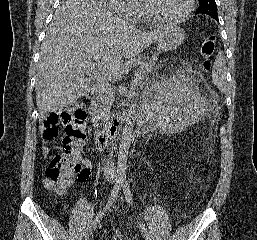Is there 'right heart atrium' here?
<instances>
[{"label":"right heart atrium","instance_id":"d8ad5b80","mask_svg":"<svg viewBox=\"0 0 257 240\" xmlns=\"http://www.w3.org/2000/svg\"><path fill=\"white\" fill-rule=\"evenodd\" d=\"M113 10L126 20L136 23L139 21L142 13L139 0H109Z\"/></svg>","mask_w":257,"mask_h":240}]
</instances>
